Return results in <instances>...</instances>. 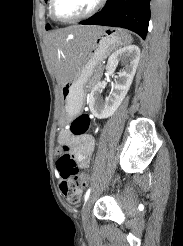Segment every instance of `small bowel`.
<instances>
[{"mask_svg": "<svg viewBox=\"0 0 183 246\" xmlns=\"http://www.w3.org/2000/svg\"><path fill=\"white\" fill-rule=\"evenodd\" d=\"M59 140L71 148L70 156L82 167H88L95 140L89 134L74 135L70 130H63ZM111 187H122V182H111Z\"/></svg>", "mask_w": 183, "mask_h": 246, "instance_id": "1", "label": "small bowel"}]
</instances>
